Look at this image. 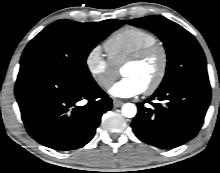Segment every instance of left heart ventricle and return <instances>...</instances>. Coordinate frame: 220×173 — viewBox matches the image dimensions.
I'll use <instances>...</instances> for the list:
<instances>
[{
	"instance_id": "obj_1",
	"label": "left heart ventricle",
	"mask_w": 220,
	"mask_h": 173,
	"mask_svg": "<svg viewBox=\"0 0 220 173\" xmlns=\"http://www.w3.org/2000/svg\"><path fill=\"white\" fill-rule=\"evenodd\" d=\"M159 67L160 57L156 54L143 63L124 66L122 74L137 79L145 89L154 81Z\"/></svg>"
}]
</instances>
